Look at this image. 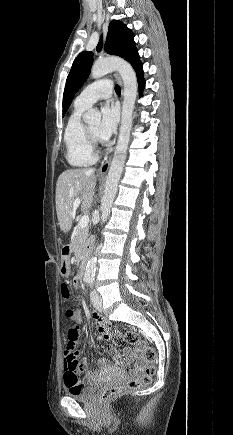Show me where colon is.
I'll list each match as a JSON object with an SVG mask.
<instances>
[{"label": "colon", "mask_w": 233, "mask_h": 435, "mask_svg": "<svg viewBox=\"0 0 233 435\" xmlns=\"http://www.w3.org/2000/svg\"><path fill=\"white\" fill-rule=\"evenodd\" d=\"M67 315L70 319H73L75 316L74 310L69 309ZM111 339L117 345H121L126 342L131 344H137L141 350L142 357L149 365L145 369V372L138 377L128 379L124 383H116L104 387L99 395L100 402L103 404L111 402L112 400L124 393L138 390L143 385L149 384L155 373L154 362L156 360V349L153 346L146 345L142 341H140L138 335L135 332L129 331L125 335H123L119 331L115 330L112 333ZM73 349L74 342L70 341L65 344L64 353H73ZM68 380L71 385L70 391L75 392L79 387H81V380L78 379L76 376H68Z\"/></svg>", "instance_id": "colon-1"}]
</instances>
